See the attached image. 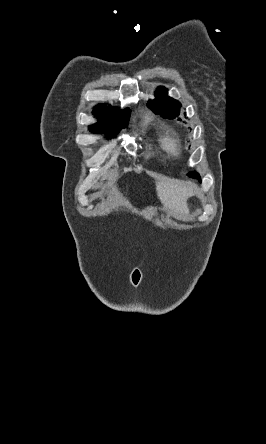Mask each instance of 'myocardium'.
<instances>
[{
	"label": "myocardium",
	"mask_w": 266,
	"mask_h": 444,
	"mask_svg": "<svg viewBox=\"0 0 266 444\" xmlns=\"http://www.w3.org/2000/svg\"><path fill=\"white\" fill-rule=\"evenodd\" d=\"M164 146L165 150L172 155H178L182 150L181 140L174 132H169L164 135Z\"/></svg>",
	"instance_id": "1"
}]
</instances>
